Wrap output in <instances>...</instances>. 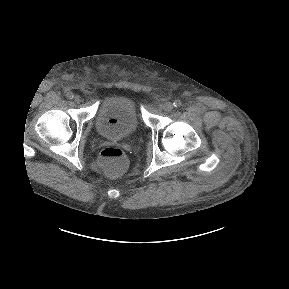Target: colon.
<instances>
[{"instance_id": "5ec220e1", "label": "colon", "mask_w": 289, "mask_h": 289, "mask_svg": "<svg viewBox=\"0 0 289 289\" xmlns=\"http://www.w3.org/2000/svg\"><path fill=\"white\" fill-rule=\"evenodd\" d=\"M98 165L105 174L111 177L121 175L127 167V157L118 147L104 148L98 158Z\"/></svg>"}]
</instances>
